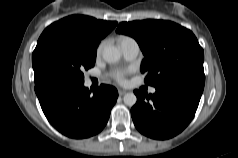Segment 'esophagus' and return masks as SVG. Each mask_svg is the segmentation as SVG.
Masks as SVG:
<instances>
[{"label": "esophagus", "instance_id": "1", "mask_svg": "<svg viewBox=\"0 0 238 158\" xmlns=\"http://www.w3.org/2000/svg\"><path fill=\"white\" fill-rule=\"evenodd\" d=\"M126 92H127V91H126V90H123V89H119V90H118V93H119L120 96H123L124 94H126Z\"/></svg>", "mask_w": 238, "mask_h": 158}]
</instances>
